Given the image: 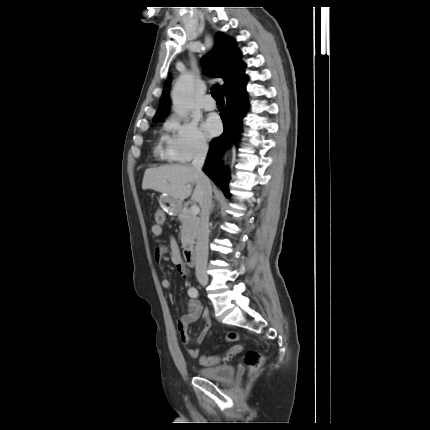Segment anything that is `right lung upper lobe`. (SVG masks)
Masks as SVG:
<instances>
[{"label": "right lung upper lobe", "instance_id": "right-lung-upper-lobe-1", "mask_svg": "<svg viewBox=\"0 0 430 430\" xmlns=\"http://www.w3.org/2000/svg\"><path fill=\"white\" fill-rule=\"evenodd\" d=\"M241 53L235 47V41L222 33L215 35V44L211 52L202 60L206 74L223 79V91L236 87L246 78L243 68L245 64L240 61ZM170 82L165 83L158 110L153 120H161L169 113L170 99L168 95Z\"/></svg>", "mask_w": 430, "mask_h": 430}]
</instances>
